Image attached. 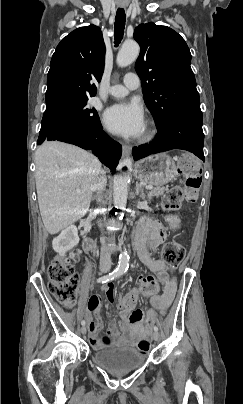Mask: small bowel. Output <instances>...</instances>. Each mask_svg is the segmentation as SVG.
I'll use <instances>...</instances> for the list:
<instances>
[{"mask_svg":"<svg viewBox=\"0 0 243 404\" xmlns=\"http://www.w3.org/2000/svg\"><path fill=\"white\" fill-rule=\"evenodd\" d=\"M166 238V233L161 223L142 220L136 231V247L140 260L154 272L162 283V292L150 297L152 308L147 312L136 309L129 317H126L120 325L112 322L109 332L117 345H129L140 336L149 332L159 314L165 313L176 291L177 278L172 267L166 265L161 259L152 258V252L161 245ZM105 296L109 302L114 300V287L108 284L104 288ZM101 308V297L94 294L88 301V309L98 315ZM101 326V320L89 321V336L92 345L100 348L97 340V331Z\"/></svg>","mask_w":243,"mask_h":404,"instance_id":"c3829d8e","label":"small bowel"}]
</instances>
